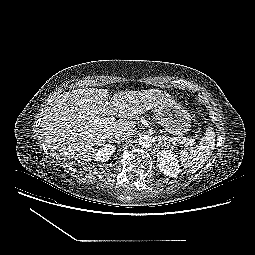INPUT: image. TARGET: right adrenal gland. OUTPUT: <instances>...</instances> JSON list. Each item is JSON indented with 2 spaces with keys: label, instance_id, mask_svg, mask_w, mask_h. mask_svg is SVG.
Masks as SVG:
<instances>
[{
  "label": "right adrenal gland",
  "instance_id": "right-adrenal-gland-1",
  "mask_svg": "<svg viewBox=\"0 0 255 255\" xmlns=\"http://www.w3.org/2000/svg\"><path fill=\"white\" fill-rule=\"evenodd\" d=\"M110 142H112V143H116V144H120L121 143V141H119V140H115V139H111V141Z\"/></svg>",
  "mask_w": 255,
  "mask_h": 255
}]
</instances>
